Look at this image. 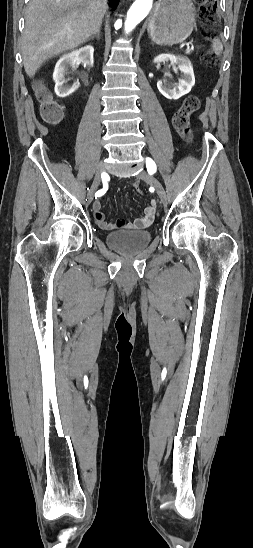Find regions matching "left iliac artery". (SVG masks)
I'll use <instances>...</instances> for the list:
<instances>
[{
    "label": "left iliac artery",
    "instance_id": "44dca946",
    "mask_svg": "<svg viewBox=\"0 0 253 548\" xmlns=\"http://www.w3.org/2000/svg\"><path fill=\"white\" fill-rule=\"evenodd\" d=\"M146 166L149 174L156 172V164L151 158H146Z\"/></svg>",
    "mask_w": 253,
    "mask_h": 548
}]
</instances>
